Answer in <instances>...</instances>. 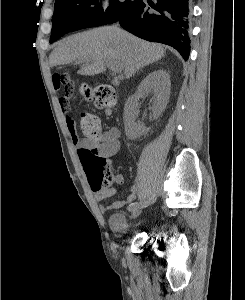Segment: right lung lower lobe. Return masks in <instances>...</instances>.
<instances>
[{
	"label": "right lung lower lobe",
	"mask_w": 245,
	"mask_h": 300,
	"mask_svg": "<svg viewBox=\"0 0 245 300\" xmlns=\"http://www.w3.org/2000/svg\"><path fill=\"white\" fill-rule=\"evenodd\" d=\"M189 0H140L117 22L128 32L152 42L172 46L187 60L190 53ZM58 39L82 25L60 19L55 23Z\"/></svg>",
	"instance_id": "right-lung-lower-lobe-1"
}]
</instances>
